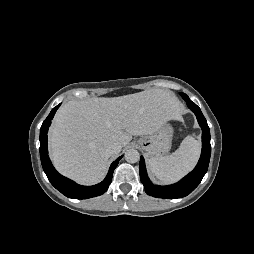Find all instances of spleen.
I'll return each instance as SVG.
<instances>
[{"instance_id": "spleen-1", "label": "spleen", "mask_w": 254, "mask_h": 254, "mask_svg": "<svg viewBox=\"0 0 254 254\" xmlns=\"http://www.w3.org/2000/svg\"><path fill=\"white\" fill-rule=\"evenodd\" d=\"M200 151V141L193 136H187L174 153L148 159V168L160 181L173 183L194 168L199 159Z\"/></svg>"}]
</instances>
